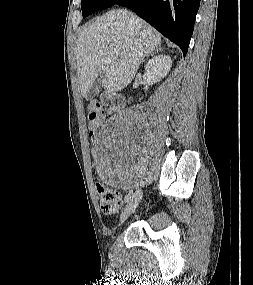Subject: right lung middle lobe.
Wrapping results in <instances>:
<instances>
[{"instance_id":"obj_1","label":"right lung middle lobe","mask_w":253,"mask_h":285,"mask_svg":"<svg viewBox=\"0 0 253 285\" xmlns=\"http://www.w3.org/2000/svg\"><path fill=\"white\" fill-rule=\"evenodd\" d=\"M119 0L106 2L105 0H82V16L86 17L89 14L99 10L100 8H108L116 4Z\"/></svg>"}]
</instances>
